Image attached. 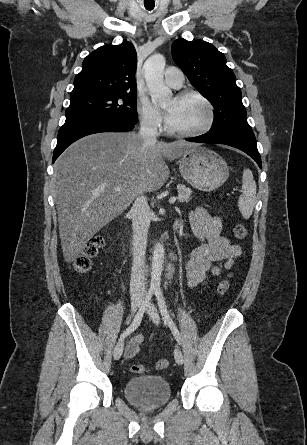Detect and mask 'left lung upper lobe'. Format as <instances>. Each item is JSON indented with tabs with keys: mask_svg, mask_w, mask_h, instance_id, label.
<instances>
[{
	"mask_svg": "<svg viewBox=\"0 0 307 445\" xmlns=\"http://www.w3.org/2000/svg\"><path fill=\"white\" fill-rule=\"evenodd\" d=\"M173 59L191 84L214 107L210 132L224 129L251 130L242 103L240 88L226 58L215 46L203 40L177 39L171 47Z\"/></svg>",
	"mask_w": 307,
	"mask_h": 445,
	"instance_id": "left-lung-upper-lobe-1",
	"label": "left lung upper lobe"
}]
</instances>
